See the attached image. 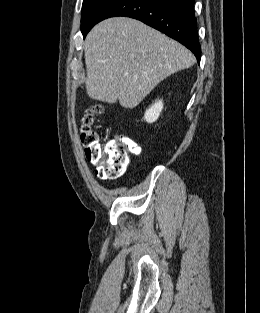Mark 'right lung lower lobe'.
Masks as SVG:
<instances>
[{
	"label": "right lung lower lobe",
	"mask_w": 260,
	"mask_h": 313,
	"mask_svg": "<svg viewBox=\"0 0 260 313\" xmlns=\"http://www.w3.org/2000/svg\"><path fill=\"white\" fill-rule=\"evenodd\" d=\"M195 0H117L99 22L114 16L138 19L190 49L200 62Z\"/></svg>",
	"instance_id": "98d812e1"
}]
</instances>
